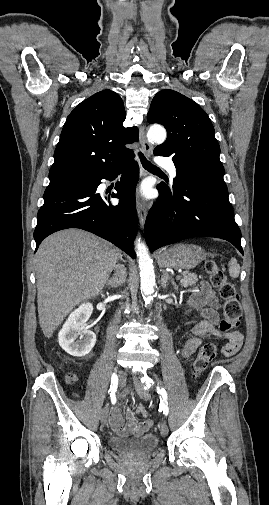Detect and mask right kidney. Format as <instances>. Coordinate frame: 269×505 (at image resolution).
<instances>
[{
    "instance_id": "right-kidney-1",
    "label": "right kidney",
    "mask_w": 269,
    "mask_h": 505,
    "mask_svg": "<svg viewBox=\"0 0 269 505\" xmlns=\"http://www.w3.org/2000/svg\"><path fill=\"white\" fill-rule=\"evenodd\" d=\"M93 312L90 303H84L73 311L59 332V345L68 354L76 357L87 355L96 343V335L84 328ZM79 337V339H78Z\"/></svg>"
}]
</instances>
